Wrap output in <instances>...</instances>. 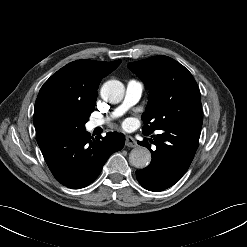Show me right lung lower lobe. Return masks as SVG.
<instances>
[{
  "label": "right lung lower lobe",
  "instance_id": "1",
  "mask_svg": "<svg viewBox=\"0 0 247 247\" xmlns=\"http://www.w3.org/2000/svg\"><path fill=\"white\" fill-rule=\"evenodd\" d=\"M37 142L54 177L66 187L79 189L98 177L111 154L123 148L125 138L117 132L94 139L85 129L44 130L37 132Z\"/></svg>",
  "mask_w": 247,
  "mask_h": 247
}]
</instances>
